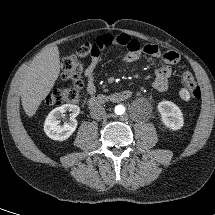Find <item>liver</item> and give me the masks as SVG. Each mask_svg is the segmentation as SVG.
Masks as SVG:
<instances>
[{
  "label": "liver",
  "instance_id": "1",
  "mask_svg": "<svg viewBox=\"0 0 215 215\" xmlns=\"http://www.w3.org/2000/svg\"><path fill=\"white\" fill-rule=\"evenodd\" d=\"M60 73V58L57 46L44 48L31 64L20 73L18 90L22 107L32 117L41 102L50 93Z\"/></svg>",
  "mask_w": 215,
  "mask_h": 215
}]
</instances>
